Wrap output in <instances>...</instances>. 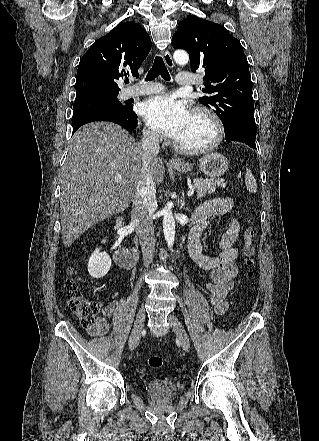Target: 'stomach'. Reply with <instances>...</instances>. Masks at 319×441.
Wrapping results in <instances>:
<instances>
[{"mask_svg": "<svg viewBox=\"0 0 319 441\" xmlns=\"http://www.w3.org/2000/svg\"><path fill=\"white\" fill-rule=\"evenodd\" d=\"M199 168L204 174L210 177H220L224 175L228 169V160L219 153H209L199 160ZM192 169L193 165L188 163L180 167H173L174 171L180 173H186Z\"/></svg>", "mask_w": 319, "mask_h": 441, "instance_id": "obj_1", "label": "stomach"}]
</instances>
